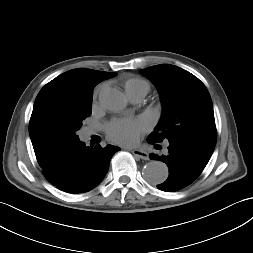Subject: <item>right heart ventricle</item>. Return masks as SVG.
Here are the masks:
<instances>
[{"instance_id": "right-heart-ventricle-1", "label": "right heart ventricle", "mask_w": 253, "mask_h": 253, "mask_svg": "<svg viewBox=\"0 0 253 253\" xmlns=\"http://www.w3.org/2000/svg\"><path fill=\"white\" fill-rule=\"evenodd\" d=\"M124 88H125L126 93L136 91V90H145L146 92H148L150 89V85L144 79L131 77L125 80Z\"/></svg>"}]
</instances>
